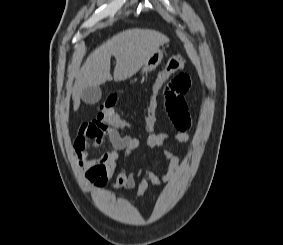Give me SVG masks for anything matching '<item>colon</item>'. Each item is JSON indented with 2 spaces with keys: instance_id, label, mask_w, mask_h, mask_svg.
I'll list each match as a JSON object with an SVG mask.
<instances>
[{
  "instance_id": "1",
  "label": "colon",
  "mask_w": 283,
  "mask_h": 245,
  "mask_svg": "<svg viewBox=\"0 0 283 245\" xmlns=\"http://www.w3.org/2000/svg\"><path fill=\"white\" fill-rule=\"evenodd\" d=\"M186 64V59L182 55H175L168 60L165 67L158 73L152 85V99L147 117L149 126L154 121L155 97L157 93L170 76L183 70ZM116 103L117 95L110 93L99 107L98 118L116 128H127L128 123L120 117L115 109Z\"/></svg>"
}]
</instances>
